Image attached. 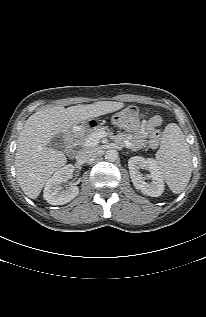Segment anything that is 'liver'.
Instances as JSON below:
<instances>
[{
    "label": "liver",
    "mask_w": 206,
    "mask_h": 317,
    "mask_svg": "<svg viewBox=\"0 0 206 317\" xmlns=\"http://www.w3.org/2000/svg\"><path fill=\"white\" fill-rule=\"evenodd\" d=\"M123 107V102L99 101L68 108L49 107L32 114L19 134L15 154L16 177L25 195L36 199L48 178L66 164L64 153L48 146L54 136L68 134L75 125L89 118Z\"/></svg>",
    "instance_id": "1"
}]
</instances>
